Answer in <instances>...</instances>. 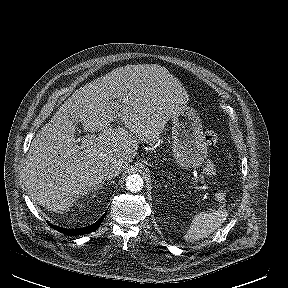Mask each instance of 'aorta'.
<instances>
[{
    "instance_id": "1",
    "label": "aorta",
    "mask_w": 288,
    "mask_h": 288,
    "mask_svg": "<svg viewBox=\"0 0 288 288\" xmlns=\"http://www.w3.org/2000/svg\"><path fill=\"white\" fill-rule=\"evenodd\" d=\"M143 179L138 174L129 175L126 178V188L131 192H138L143 188Z\"/></svg>"
}]
</instances>
